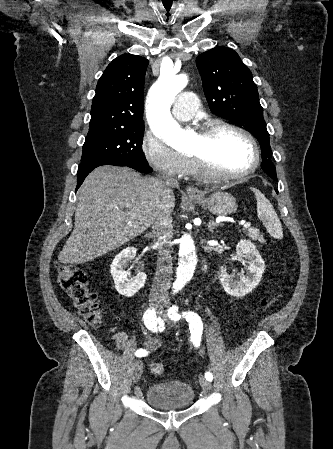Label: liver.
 I'll list each match as a JSON object with an SVG mask.
<instances>
[{"label": "liver", "instance_id": "1", "mask_svg": "<svg viewBox=\"0 0 333 449\" xmlns=\"http://www.w3.org/2000/svg\"><path fill=\"white\" fill-rule=\"evenodd\" d=\"M176 186L128 168H96L77 191L75 226L60 262L82 264L141 235L160 204L174 209Z\"/></svg>", "mask_w": 333, "mask_h": 449}]
</instances>
